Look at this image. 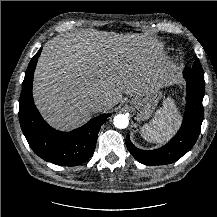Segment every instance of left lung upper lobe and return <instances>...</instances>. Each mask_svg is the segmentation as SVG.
I'll list each match as a JSON object with an SVG mask.
<instances>
[{
	"instance_id": "left-lung-upper-lobe-1",
	"label": "left lung upper lobe",
	"mask_w": 217,
	"mask_h": 217,
	"mask_svg": "<svg viewBox=\"0 0 217 217\" xmlns=\"http://www.w3.org/2000/svg\"><path fill=\"white\" fill-rule=\"evenodd\" d=\"M192 71V73L194 74V76L199 79L200 81H204V71L201 67V64L199 62V59H197L194 64L193 67L190 69Z\"/></svg>"
}]
</instances>
